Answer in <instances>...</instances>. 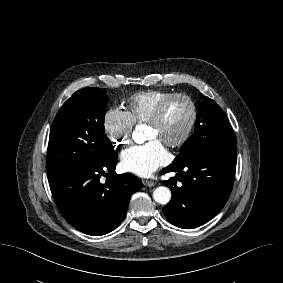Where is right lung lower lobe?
Here are the masks:
<instances>
[{
	"instance_id": "right-lung-lower-lobe-1",
	"label": "right lung lower lobe",
	"mask_w": 283,
	"mask_h": 283,
	"mask_svg": "<svg viewBox=\"0 0 283 283\" xmlns=\"http://www.w3.org/2000/svg\"><path fill=\"white\" fill-rule=\"evenodd\" d=\"M117 162L114 152L97 165L49 181L61 215L85 234L100 236L117 228L125 217L130 197L141 187V179L133 174L115 173ZM101 176H106L105 183Z\"/></svg>"
}]
</instances>
